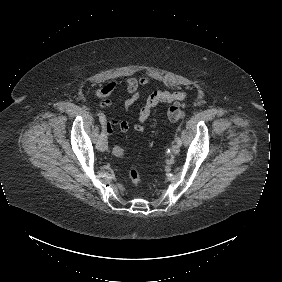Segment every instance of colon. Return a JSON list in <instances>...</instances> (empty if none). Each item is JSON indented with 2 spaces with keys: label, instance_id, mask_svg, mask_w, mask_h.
<instances>
[{
  "label": "colon",
  "instance_id": "5ec220e1",
  "mask_svg": "<svg viewBox=\"0 0 282 282\" xmlns=\"http://www.w3.org/2000/svg\"><path fill=\"white\" fill-rule=\"evenodd\" d=\"M166 115L170 122L177 123L183 117V110L177 106H170L166 110ZM126 154V150L122 147L115 146L112 148V155L115 157L123 158ZM129 179L134 186H138L141 182L140 172L135 166L129 171Z\"/></svg>",
  "mask_w": 282,
  "mask_h": 282
}]
</instances>
